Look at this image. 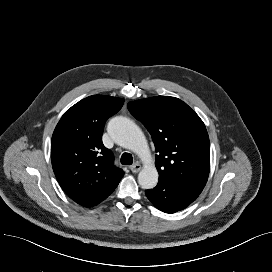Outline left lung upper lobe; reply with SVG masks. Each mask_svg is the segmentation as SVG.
Listing matches in <instances>:
<instances>
[{
  "mask_svg": "<svg viewBox=\"0 0 272 272\" xmlns=\"http://www.w3.org/2000/svg\"><path fill=\"white\" fill-rule=\"evenodd\" d=\"M127 107L152 136L159 180L202 191L210 170V143L200 117L185 102L170 96L132 101Z\"/></svg>",
  "mask_w": 272,
  "mask_h": 272,
  "instance_id": "5c2ea615",
  "label": "left lung upper lobe"
}]
</instances>
